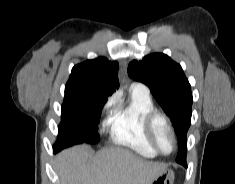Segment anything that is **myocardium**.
Wrapping results in <instances>:
<instances>
[{"label":"myocardium","mask_w":235,"mask_h":184,"mask_svg":"<svg viewBox=\"0 0 235 184\" xmlns=\"http://www.w3.org/2000/svg\"><path fill=\"white\" fill-rule=\"evenodd\" d=\"M160 124H163L164 126H166L173 135L175 144H174L173 151L171 153L163 152L157 143L156 132H157V128ZM145 129H146L147 135L150 139V142H151L154 150L157 153H159L163 156H169L176 151L177 145H178L177 134H176V131H175L170 119L168 118V116L166 114H164L163 112L158 111V110H154V111L150 112L147 115L146 120H145Z\"/></svg>","instance_id":"1"}]
</instances>
